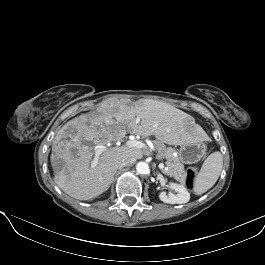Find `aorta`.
<instances>
[{
  "instance_id": "aorta-1",
  "label": "aorta",
  "mask_w": 265,
  "mask_h": 265,
  "mask_svg": "<svg viewBox=\"0 0 265 265\" xmlns=\"http://www.w3.org/2000/svg\"><path fill=\"white\" fill-rule=\"evenodd\" d=\"M136 171L139 174H148L149 173V165L146 162H139L136 165Z\"/></svg>"
}]
</instances>
